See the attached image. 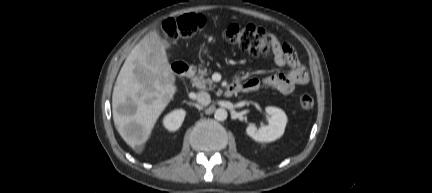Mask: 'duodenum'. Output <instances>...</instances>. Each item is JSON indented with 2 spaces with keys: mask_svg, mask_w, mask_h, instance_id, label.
Here are the masks:
<instances>
[{
  "mask_svg": "<svg viewBox=\"0 0 432 193\" xmlns=\"http://www.w3.org/2000/svg\"><path fill=\"white\" fill-rule=\"evenodd\" d=\"M173 72L181 77H189L192 76L194 71L191 65L185 62H176L172 65ZM242 89L241 85L232 84L225 90L226 96H232L234 93L240 91Z\"/></svg>",
  "mask_w": 432,
  "mask_h": 193,
  "instance_id": "obj_1",
  "label": "duodenum"
}]
</instances>
